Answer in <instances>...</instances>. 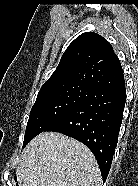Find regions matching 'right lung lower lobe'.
Here are the masks:
<instances>
[{"instance_id": "right-lung-lower-lobe-1", "label": "right lung lower lobe", "mask_w": 138, "mask_h": 186, "mask_svg": "<svg viewBox=\"0 0 138 186\" xmlns=\"http://www.w3.org/2000/svg\"><path fill=\"white\" fill-rule=\"evenodd\" d=\"M125 101V84L92 89L82 104L46 131L59 132L85 144L94 154L105 182L118 141Z\"/></svg>"}]
</instances>
